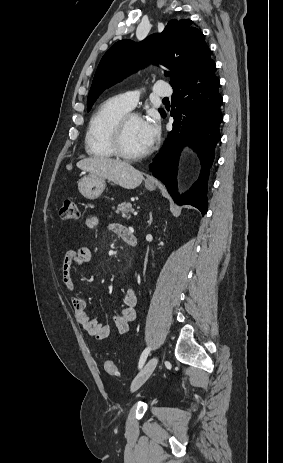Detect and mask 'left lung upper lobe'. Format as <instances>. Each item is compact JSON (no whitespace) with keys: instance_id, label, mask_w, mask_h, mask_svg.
I'll use <instances>...</instances> for the list:
<instances>
[{"instance_id":"obj_1","label":"left lung upper lobe","mask_w":283,"mask_h":463,"mask_svg":"<svg viewBox=\"0 0 283 463\" xmlns=\"http://www.w3.org/2000/svg\"><path fill=\"white\" fill-rule=\"evenodd\" d=\"M191 24V20L173 19L162 33L150 35L140 43L127 39L116 42L98 65L88 94L87 110L106 88L147 63L170 68L166 76L171 77L170 84L175 87L212 61L204 35ZM159 112L164 115L163 109Z\"/></svg>"}]
</instances>
